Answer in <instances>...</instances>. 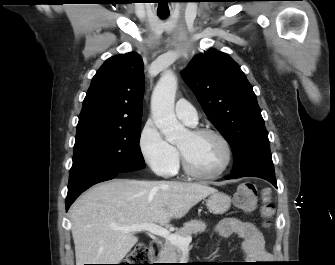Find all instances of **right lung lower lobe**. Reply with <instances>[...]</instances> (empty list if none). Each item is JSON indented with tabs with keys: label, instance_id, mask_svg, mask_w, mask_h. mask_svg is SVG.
<instances>
[{
	"label": "right lung lower lobe",
	"instance_id": "98d812e1",
	"mask_svg": "<svg viewBox=\"0 0 335 265\" xmlns=\"http://www.w3.org/2000/svg\"><path fill=\"white\" fill-rule=\"evenodd\" d=\"M118 173L120 172L114 170H96L83 174L78 178L70 181L68 184V194L65 201L66 210H68L76 198L90 186L102 181L113 179L118 175Z\"/></svg>",
	"mask_w": 335,
	"mask_h": 265
}]
</instances>
